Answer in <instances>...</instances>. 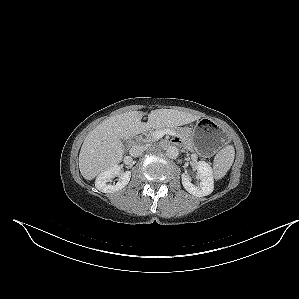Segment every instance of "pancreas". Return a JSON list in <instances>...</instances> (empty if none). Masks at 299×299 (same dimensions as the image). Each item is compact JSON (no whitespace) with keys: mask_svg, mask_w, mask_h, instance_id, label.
<instances>
[{"mask_svg":"<svg viewBox=\"0 0 299 299\" xmlns=\"http://www.w3.org/2000/svg\"><path fill=\"white\" fill-rule=\"evenodd\" d=\"M159 130H163V128L159 129ZM170 130L174 131L176 134L180 135L183 139L187 140L188 142H190V129L188 128H170ZM153 133L154 131L150 130L148 133H146V138L145 141L148 143L154 142L155 139L153 137Z\"/></svg>","mask_w":299,"mask_h":299,"instance_id":"obj_1","label":"pancreas"}]
</instances>
